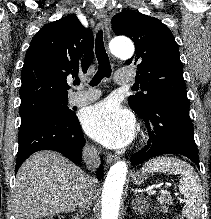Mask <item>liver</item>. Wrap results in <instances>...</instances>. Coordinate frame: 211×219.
Segmentation results:
<instances>
[{"mask_svg":"<svg viewBox=\"0 0 211 219\" xmlns=\"http://www.w3.org/2000/svg\"><path fill=\"white\" fill-rule=\"evenodd\" d=\"M86 174L53 151L32 154L19 168L13 196L15 219H38L76 208ZM96 188H93V197Z\"/></svg>","mask_w":211,"mask_h":219,"instance_id":"6515ba94","label":"liver"}]
</instances>
